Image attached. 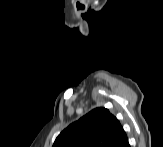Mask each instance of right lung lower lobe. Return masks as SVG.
I'll return each instance as SVG.
<instances>
[{"mask_svg": "<svg viewBox=\"0 0 163 147\" xmlns=\"http://www.w3.org/2000/svg\"><path fill=\"white\" fill-rule=\"evenodd\" d=\"M113 147H129L127 136L121 138Z\"/></svg>", "mask_w": 163, "mask_h": 147, "instance_id": "obj_1", "label": "right lung lower lobe"}]
</instances>
